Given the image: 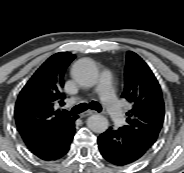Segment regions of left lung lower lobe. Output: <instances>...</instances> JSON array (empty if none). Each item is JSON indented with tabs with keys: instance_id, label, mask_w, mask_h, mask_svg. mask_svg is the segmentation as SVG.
<instances>
[{
	"instance_id": "left-lung-lower-lobe-1",
	"label": "left lung lower lobe",
	"mask_w": 184,
	"mask_h": 173,
	"mask_svg": "<svg viewBox=\"0 0 184 173\" xmlns=\"http://www.w3.org/2000/svg\"><path fill=\"white\" fill-rule=\"evenodd\" d=\"M98 147L107 161L118 166L130 164L147 152V149L139 145L122 128H110L102 133L98 137Z\"/></svg>"
}]
</instances>
